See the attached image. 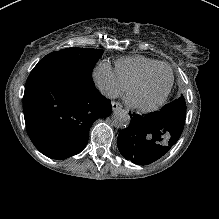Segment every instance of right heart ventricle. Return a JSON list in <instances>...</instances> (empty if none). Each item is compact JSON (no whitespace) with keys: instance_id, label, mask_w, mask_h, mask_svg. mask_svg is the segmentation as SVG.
<instances>
[{"instance_id":"1","label":"right heart ventricle","mask_w":219,"mask_h":219,"mask_svg":"<svg viewBox=\"0 0 219 219\" xmlns=\"http://www.w3.org/2000/svg\"><path fill=\"white\" fill-rule=\"evenodd\" d=\"M159 64L158 60L140 54L121 57L115 62V76L124 86H129L141 73Z\"/></svg>"}]
</instances>
